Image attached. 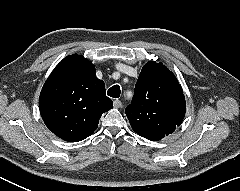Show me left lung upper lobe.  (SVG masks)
<instances>
[{"label":"left lung upper lobe","mask_w":240,"mask_h":191,"mask_svg":"<svg viewBox=\"0 0 240 191\" xmlns=\"http://www.w3.org/2000/svg\"><path fill=\"white\" fill-rule=\"evenodd\" d=\"M186 101L174 74L161 62H147L126 109L132 129L149 140L173 133L185 116Z\"/></svg>","instance_id":"obj_1"}]
</instances>
